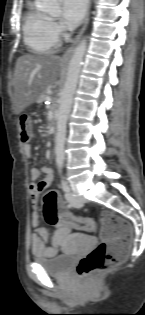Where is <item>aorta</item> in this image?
<instances>
[{
  "label": "aorta",
  "mask_w": 145,
  "mask_h": 315,
  "mask_svg": "<svg viewBox=\"0 0 145 315\" xmlns=\"http://www.w3.org/2000/svg\"><path fill=\"white\" fill-rule=\"evenodd\" d=\"M41 11L49 14L60 12L59 0H41ZM87 48V40L83 38L75 47L69 62L66 81L60 97L59 110L57 116V132L55 137L56 165L61 172L65 158V140L67 120L71 111L73 96L77 87L83 57Z\"/></svg>",
  "instance_id": "762f6f07"
}]
</instances>
